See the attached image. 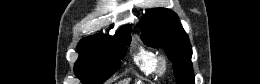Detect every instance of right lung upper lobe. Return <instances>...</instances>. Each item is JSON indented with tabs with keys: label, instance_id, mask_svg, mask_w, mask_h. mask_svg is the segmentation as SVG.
Segmentation results:
<instances>
[{
	"label": "right lung upper lobe",
	"instance_id": "cb5924a9",
	"mask_svg": "<svg viewBox=\"0 0 260 84\" xmlns=\"http://www.w3.org/2000/svg\"><path fill=\"white\" fill-rule=\"evenodd\" d=\"M130 31H131L130 26L126 25V26L122 27L119 34H117L115 36H123V35L130 33ZM108 37H110V36L96 35V36H92V37H87V38L81 40L79 42L78 46L89 44V43H92V42H96V41H99V40H102V39H105V38H108Z\"/></svg>",
	"mask_w": 260,
	"mask_h": 84
}]
</instances>
